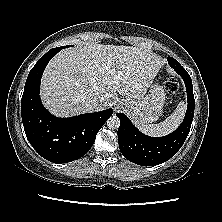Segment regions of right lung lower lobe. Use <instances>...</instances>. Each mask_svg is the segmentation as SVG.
<instances>
[{
	"label": "right lung lower lobe",
	"instance_id": "right-lung-lower-lobe-1",
	"mask_svg": "<svg viewBox=\"0 0 222 222\" xmlns=\"http://www.w3.org/2000/svg\"><path fill=\"white\" fill-rule=\"evenodd\" d=\"M59 51L56 48L48 51L29 72L22 95L21 115L27 139L38 154L54 163H66L89 151L113 110L57 118L44 108L39 95L41 77L49 60Z\"/></svg>",
	"mask_w": 222,
	"mask_h": 222
}]
</instances>
